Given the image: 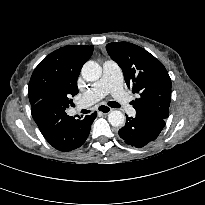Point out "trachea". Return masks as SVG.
I'll use <instances>...</instances> for the list:
<instances>
[{
	"label": "trachea",
	"mask_w": 205,
	"mask_h": 205,
	"mask_svg": "<svg viewBox=\"0 0 205 205\" xmlns=\"http://www.w3.org/2000/svg\"><path fill=\"white\" fill-rule=\"evenodd\" d=\"M108 105L110 107H113V108H119L120 107V105L117 102H115V101L108 102Z\"/></svg>",
	"instance_id": "trachea-1"
}]
</instances>
